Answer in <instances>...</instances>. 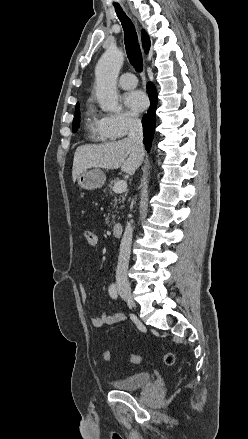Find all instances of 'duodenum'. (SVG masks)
Segmentation results:
<instances>
[{
  "label": "duodenum",
  "mask_w": 248,
  "mask_h": 439,
  "mask_svg": "<svg viewBox=\"0 0 248 439\" xmlns=\"http://www.w3.org/2000/svg\"><path fill=\"white\" fill-rule=\"evenodd\" d=\"M124 230V225L122 223H114L112 226V233L115 236H121Z\"/></svg>",
  "instance_id": "obj_1"
}]
</instances>
